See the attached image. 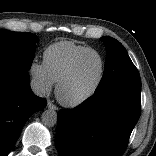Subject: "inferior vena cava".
Listing matches in <instances>:
<instances>
[{
  "label": "inferior vena cava",
  "instance_id": "602c4592",
  "mask_svg": "<svg viewBox=\"0 0 156 156\" xmlns=\"http://www.w3.org/2000/svg\"><path fill=\"white\" fill-rule=\"evenodd\" d=\"M31 89L33 93L39 97H44L46 95L45 85L38 80H31Z\"/></svg>",
  "mask_w": 156,
  "mask_h": 156
}]
</instances>
